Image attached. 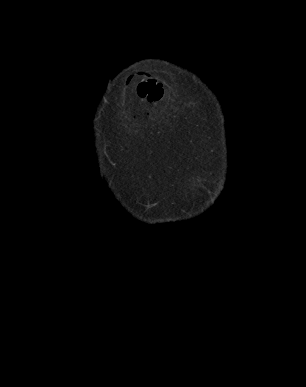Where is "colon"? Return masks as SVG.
<instances>
[{"label":"colon","instance_id":"obj_1","mask_svg":"<svg viewBox=\"0 0 306 387\" xmlns=\"http://www.w3.org/2000/svg\"><path fill=\"white\" fill-rule=\"evenodd\" d=\"M140 95L148 103H157L163 96L162 84L155 78L147 79L140 85Z\"/></svg>","mask_w":306,"mask_h":387}]
</instances>
